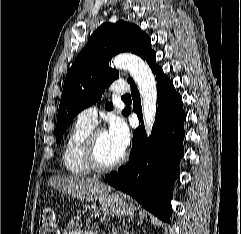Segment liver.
I'll return each instance as SVG.
<instances>
[{
	"mask_svg": "<svg viewBox=\"0 0 241 234\" xmlns=\"http://www.w3.org/2000/svg\"><path fill=\"white\" fill-rule=\"evenodd\" d=\"M48 185L62 193L80 200L93 201L100 199L111 191V187L97 178L66 177L55 175L48 180Z\"/></svg>",
	"mask_w": 241,
	"mask_h": 234,
	"instance_id": "obj_1",
	"label": "liver"
}]
</instances>
